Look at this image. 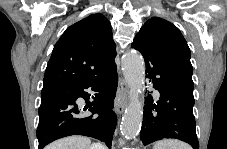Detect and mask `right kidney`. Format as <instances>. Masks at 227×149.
Instances as JSON below:
<instances>
[{
  "instance_id": "ca27d5eb",
  "label": "right kidney",
  "mask_w": 227,
  "mask_h": 149,
  "mask_svg": "<svg viewBox=\"0 0 227 149\" xmlns=\"http://www.w3.org/2000/svg\"><path fill=\"white\" fill-rule=\"evenodd\" d=\"M89 149H103V147L100 144H92Z\"/></svg>"
}]
</instances>
